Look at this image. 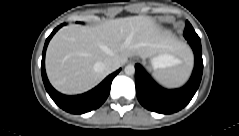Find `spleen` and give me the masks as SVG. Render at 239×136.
Here are the masks:
<instances>
[{
	"label": "spleen",
	"mask_w": 239,
	"mask_h": 136,
	"mask_svg": "<svg viewBox=\"0 0 239 136\" xmlns=\"http://www.w3.org/2000/svg\"><path fill=\"white\" fill-rule=\"evenodd\" d=\"M188 73L187 69L174 68L168 71H157L153 75L165 86H177L187 79Z\"/></svg>",
	"instance_id": "1"
}]
</instances>
